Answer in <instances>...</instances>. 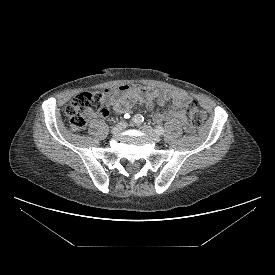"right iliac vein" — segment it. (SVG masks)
I'll list each match as a JSON object with an SVG mask.
<instances>
[{"label": "right iliac vein", "instance_id": "63e3f726", "mask_svg": "<svg viewBox=\"0 0 275 275\" xmlns=\"http://www.w3.org/2000/svg\"><path fill=\"white\" fill-rule=\"evenodd\" d=\"M127 126V123L125 121H120L118 124L115 125V127L112 129V134H117L121 131H123Z\"/></svg>", "mask_w": 275, "mask_h": 275}]
</instances>
